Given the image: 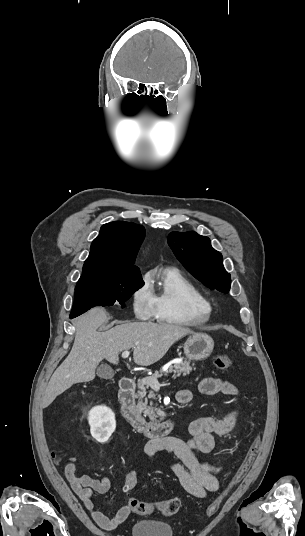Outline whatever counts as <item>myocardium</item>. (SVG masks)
I'll list each match as a JSON object with an SVG mask.
<instances>
[{
    "mask_svg": "<svg viewBox=\"0 0 305 536\" xmlns=\"http://www.w3.org/2000/svg\"><path fill=\"white\" fill-rule=\"evenodd\" d=\"M209 307H210V311L212 312L213 308H212V305L210 303H209Z\"/></svg>",
    "mask_w": 305,
    "mask_h": 536,
    "instance_id": "myocardium-1",
    "label": "myocardium"
}]
</instances>
